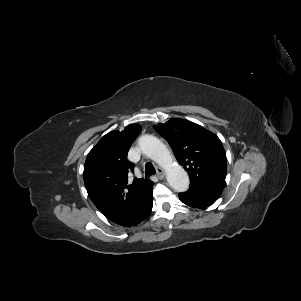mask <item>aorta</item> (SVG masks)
Instances as JSON below:
<instances>
[{"label":"aorta","instance_id":"762f6f07","mask_svg":"<svg viewBox=\"0 0 301 301\" xmlns=\"http://www.w3.org/2000/svg\"><path fill=\"white\" fill-rule=\"evenodd\" d=\"M138 143L142 152L166 171L167 181L175 191L185 192L188 190L187 172L174 162L167 147L157 137L146 134L139 138Z\"/></svg>","mask_w":301,"mask_h":301}]
</instances>
